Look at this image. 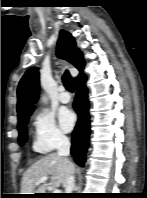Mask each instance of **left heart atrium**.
<instances>
[{"label":"left heart atrium","mask_w":147,"mask_h":198,"mask_svg":"<svg viewBox=\"0 0 147 198\" xmlns=\"http://www.w3.org/2000/svg\"><path fill=\"white\" fill-rule=\"evenodd\" d=\"M75 120V115L70 110L64 109L59 113L60 125L66 132L70 131L73 128Z\"/></svg>","instance_id":"39dd6f15"}]
</instances>
